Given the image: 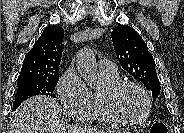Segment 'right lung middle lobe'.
<instances>
[{
    "instance_id": "dd1d6c3e",
    "label": "right lung middle lobe",
    "mask_w": 184,
    "mask_h": 133,
    "mask_svg": "<svg viewBox=\"0 0 184 133\" xmlns=\"http://www.w3.org/2000/svg\"><path fill=\"white\" fill-rule=\"evenodd\" d=\"M59 81V76L51 78H28L18 79L17 92L13 103L12 110H16L18 106L28 98L35 95H49L55 97L53 94L55 86Z\"/></svg>"
}]
</instances>
